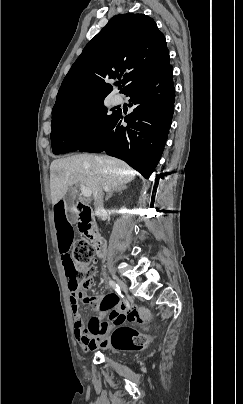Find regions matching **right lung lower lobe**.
Instances as JSON below:
<instances>
[{
  "label": "right lung lower lobe",
  "instance_id": "obj_1",
  "mask_svg": "<svg viewBox=\"0 0 243 404\" xmlns=\"http://www.w3.org/2000/svg\"><path fill=\"white\" fill-rule=\"evenodd\" d=\"M125 95L130 96L133 112L123 118L119 110L101 133L78 150L105 151L126 161L148 179L159 162L173 117L175 88L172 66L135 85ZM122 121L127 123L126 127L120 126Z\"/></svg>",
  "mask_w": 243,
  "mask_h": 404
}]
</instances>
